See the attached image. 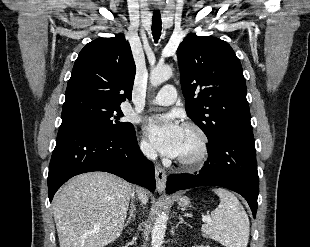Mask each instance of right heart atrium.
I'll list each match as a JSON object with an SVG mask.
<instances>
[{"label": "right heart atrium", "mask_w": 310, "mask_h": 247, "mask_svg": "<svg viewBox=\"0 0 310 247\" xmlns=\"http://www.w3.org/2000/svg\"><path fill=\"white\" fill-rule=\"evenodd\" d=\"M139 149L141 153L148 158H152L155 155L151 143L144 137L139 141Z\"/></svg>", "instance_id": "1"}]
</instances>
